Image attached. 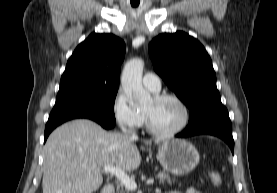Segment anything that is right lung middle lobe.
I'll return each mask as SVG.
<instances>
[{
  "label": "right lung middle lobe",
  "instance_id": "obj_1",
  "mask_svg": "<svg viewBox=\"0 0 277 193\" xmlns=\"http://www.w3.org/2000/svg\"><path fill=\"white\" fill-rule=\"evenodd\" d=\"M118 88L81 86L59 91L54 108H75L94 112L115 121L114 102Z\"/></svg>",
  "mask_w": 277,
  "mask_h": 193
}]
</instances>
